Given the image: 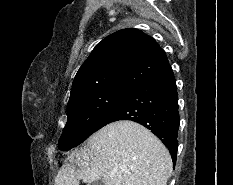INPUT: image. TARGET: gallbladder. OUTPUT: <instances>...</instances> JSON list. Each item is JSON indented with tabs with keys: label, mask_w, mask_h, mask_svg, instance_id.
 <instances>
[{
	"label": "gallbladder",
	"mask_w": 233,
	"mask_h": 185,
	"mask_svg": "<svg viewBox=\"0 0 233 185\" xmlns=\"http://www.w3.org/2000/svg\"><path fill=\"white\" fill-rule=\"evenodd\" d=\"M91 185H104V182L102 179H99V180L93 182Z\"/></svg>",
	"instance_id": "bac80fb5"
}]
</instances>
